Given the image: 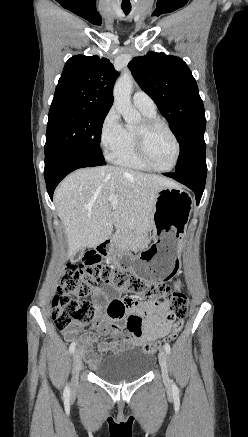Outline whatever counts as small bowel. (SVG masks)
Here are the masks:
<instances>
[{
  "label": "small bowel",
  "instance_id": "1",
  "mask_svg": "<svg viewBox=\"0 0 248 437\" xmlns=\"http://www.w3.org/2000/svg\"><path fill=\"white\" fill-rule=\"evenodd\" d=\"M175 287L180 288L179 281L175 283ZM93 294L94 298L107 308V313L98 315L93 323V327L108 338L98 343L97 349L100 354H114L122 348L137 347L162 338L171 330L166 301L140 304L135 297L114 291L113 285H98ZM121 322L126 323L127 333L120 342L121 327L118 324ZM79 331L80 327L74 325L62 330V334L67 341H71ZM96 342L97 339L91 334H84L80 338L84 358L93 367L98 365L100 359L92 349Z\"/></svg>",
  "mask_w": 248,
  "mask_h": 437
}]
</instances>
